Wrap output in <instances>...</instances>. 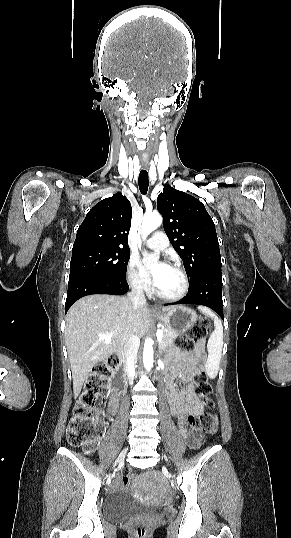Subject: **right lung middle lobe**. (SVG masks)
Instances as JSON below:
<instances>
[{
	"label": "right lung middle lobe",
	"mask_w": 291,
	"mask_h": 538,
	"mask_svg": "<svg viewBox=\"0 0 291 538\" xmlns=\"http://www.w3.org/2000/svg\"><path fill=\"white\" fill-rule=\"evenodd\" d=\"M129 259V248L88 246L72 250L70 278L93 274L125 279Z\"/></svg>",
	"instance_id": "obj_1"
}]
</instances>
